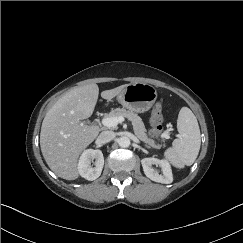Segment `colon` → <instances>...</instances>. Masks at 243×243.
<instances>
[{
    "label": "colon",
    "instance_id": "colon-1",
    "mask_svg": "<svg viewBox=\"0 0 243 243\" xmlns=\"http://www.w3.org/2000/svg\"><path fill=\"white\" fill-rule=\"evenodd\" d=\"M161 108H162L161 103L160 102L157 103L150 120L151 123L150 135L154 138H158L163 130Z\"/></svg>",
    "mask_w": 243,
    "mask_h": 243
}]
</instances>
